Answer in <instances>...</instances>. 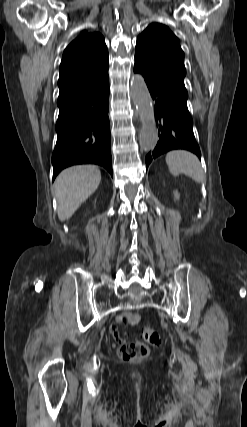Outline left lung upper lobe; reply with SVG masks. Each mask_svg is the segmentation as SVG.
I'll list each match as a JSON object with an SVG mask.
<instances>
[{
    "instance_id": "5c2ea615",
    "label": "left lung upper lobe",
    "mask_w": 247,
    "mask_h": 427,
    "mask_svg": "<svg viewBox=\"0 0 247 427\" xmlns=\"http://www.w3.org/2000/svg\"><path fill=\"white\" fill-rule=\"evenodd\" d=\"M135 64L148 75L188 97L184 85V52L179 39L165 25L152 23L138 36Z\"/></svg>"
}]
</instances>
